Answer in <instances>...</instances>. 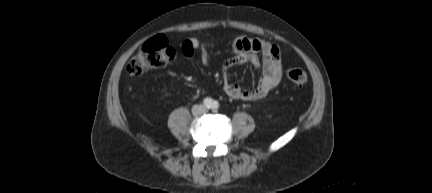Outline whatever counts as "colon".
I'll return each mask as SVG.
<instances>
[{
	"instance_id": "obj_1",
	"label": "colon",
	"mask_w": 432,
	"mask_h": 193,
	"mask_svg": "<svg viewBox=\"0 0 432 193\" xmlns=\"http://www.w3.org/2000/svg\"><path fill=\"white\" fill-rule=\"evenodd\" d=\"M175 57V50L169 45L166 38L156 36L148 40L138 53L128 62L126 70L130 75L138 76L151 70L165 67ZM286 76L292 83L303 86L308 81L305 71L298 68L286 71Z\"/></svg>"
}]
</instances>
